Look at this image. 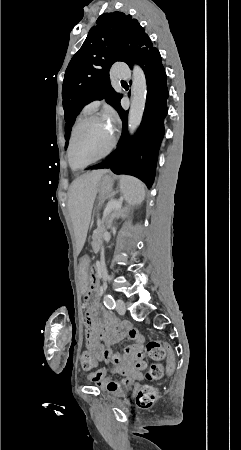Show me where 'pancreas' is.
<instances>
[{
  "mask_svg": "<svg viewBox=\"0 0 241 450\" xmlns=\"http://www.w3.org/2000/svg\"><path fill=\"white\" fill-rule=\"evenodd\" d=\"M116 214H109V216H107L106 220H104V224L106 226V228H109V224L111 222V220H113V218H115ZM105 227H97V232L94 233V236L92 237V244L91 245V250H97L99 244L103 243L104 238H103V232L106 231Z\"/></svg>",
  "mask_w": 241,
  "mask_h": 450,
  "instance_id": "cf45deb5",
  "label": "pancreas"
}]
</instances>
